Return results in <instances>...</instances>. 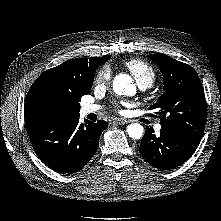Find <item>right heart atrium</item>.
Returning <instances> with one entry per match:
<instances>
[{"mask_svg": "<svg viewBox=\"0 0 221 221\" xmlns=\"http://www.w3.org/2000/svg\"><path fill=\"white\" fill-rule=\"evenodd\" d=\"M111 70L108 66L100 68L95 75L94 84L96 87H105L110 83Z\"/></svg>", "mask_w": 221, "mask_h": 221, "instance_id": "obj_1", "label": "right heart atrium"}]
</instances>
